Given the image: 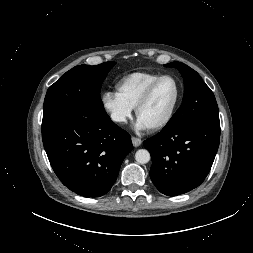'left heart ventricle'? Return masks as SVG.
Here are the masks:
<instances>
[{
  "label": "left heart ventricle",
  "mask_w": 253,
  "mask_h": 253,
  "mask_svg": "<svg viewBox=\"0 0 253 253\" xmlns=\"http://www.w3.org/2000/svg\"><path fill=\"white\" fill-rule=\"evenodd\" d=\"M176 91V85L172 79L167 78L161 81L148 103L141 109L138 120L146 127L162 121L170 111Z\"/></svg>",
  "instance_id": "b2bd125f"
}]
</instances>
